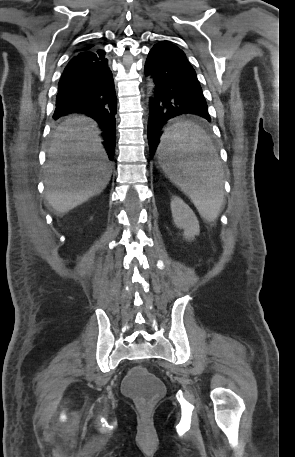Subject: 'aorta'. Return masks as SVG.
I'll return each instance as SVG.
<instances>
[{
	"instance_id": "762f6f07",
	"label": "aorta",
	"mask_w": 295,
	"mask_h": 457,
	"mask_svg": "<svg viewBox=\"0 0 295 457\" xmlns=\"http://www.w3.org/2000/svg\"><path fill=\"white\" fill-rule=\"evenodd\" d=\"M153 90H154V83L151 79H148L147 83V92L149 96L153 95Z\"/></svg>"
}]
</instances>
